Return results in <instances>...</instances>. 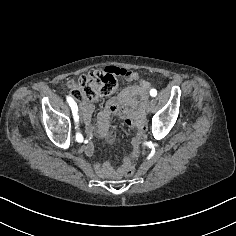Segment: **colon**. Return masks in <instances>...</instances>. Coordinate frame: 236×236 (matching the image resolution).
Returning a JSON list of instances; mask_svg holds the SVG:
<instances>
[{
  "label": "colon",
  "mask_w": 236,
  "mask_h": 236,
  "mask_svg": "<svg viewBox=\"0 0 236 236\" xmlns=\"http://www.w3.org/2000/svg\"><path fill=\"white\" fill-rule=\"evenodd\" d=\"M125 74L123 69L114 67H108L104 70H91L83 74L78 80L69 81L71 98L86 102L110 95L117 87V76ZM135 170V165L128 161L122 169V175L130 178L134 175Z\"/></svg>",
  "instance_id": "obj_1"
}]
</instances>
